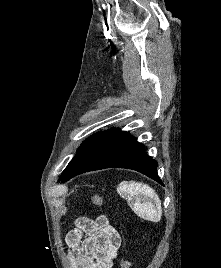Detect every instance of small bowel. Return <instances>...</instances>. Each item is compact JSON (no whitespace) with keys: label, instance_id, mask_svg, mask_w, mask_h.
Segmentation results:
<instances>
[{"label":"small bowel","instance_id":"small-bowel-1","mask_svg":"<svg viewBox=\"0 0 221 268\" xmlns=\"http://www.w3.org/2000/svg\"><path fill=\"white\" fill-rule=\"evenodd\" d=\"M66 243L73 268H112L121 236L106 215L95 219L80 217L67 233Z\"/></svg>","mask_w":221,"mask_h":268}]
</instances>
